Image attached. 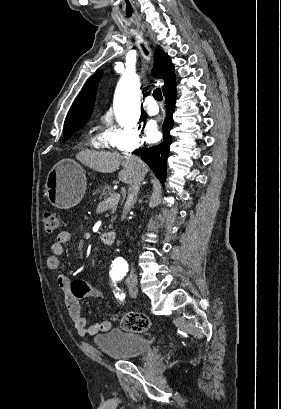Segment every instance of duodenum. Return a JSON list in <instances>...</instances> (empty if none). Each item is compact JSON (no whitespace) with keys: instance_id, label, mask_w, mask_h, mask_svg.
<instances>
[{"instance_id":"1","label":"duodenum","mask_w":281,"mask_h":409,"mask_svg":"<svg viewBox=\"0 0 281 409\" xmlns=\"http://www.w3.org/2000/svg\"><path fill=\"white\" fill-rule=\"evenodd\" d=\"M115 238H116V235L113 232H106L101 235L102 242L107 245L113 244L115 241Z\"/></svg>"}]
</instances>
